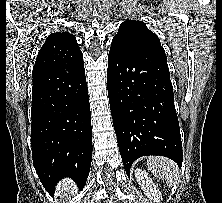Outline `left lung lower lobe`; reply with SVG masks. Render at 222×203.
<instances>
[{"label":"left lung lower lobe","mask_w":222,"mask_h":203,"mask_svg":"<svg viewBox=\"0 0 222 203\" xmlns=\"http://www.w3.org/2000/svg\"><path fill=\"white\" fill-rule=\"evenodd\" d=\"M108 96L126 173L141 156L161 155L181 168L182 143L167 58L145 47L112 42Z\"/></svg>","instance_id":"1"}]
</instances>
